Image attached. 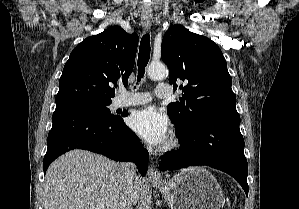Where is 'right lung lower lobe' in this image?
I'll return each mask as SVG.
<instances>
[{
    "instance_id": "obj_1",
    "label": "right lung lower lobe",
    "mask_w": 299,
    "mask_h": 209,
    "mask_svg": "<svg viewBox=\"0 0 299 209\" xmlns=\"http://www.w3.org/2000/svg\"><path fill=\"white\" fill-rule=\"evenodd\" d=\"M48 134L43 170L61 154L72 149H84L103 154L115 161L135 162L145 176L149 153L121 116L117 121H104L72 107H56Z\"/></svg>"
}]
</instances>
